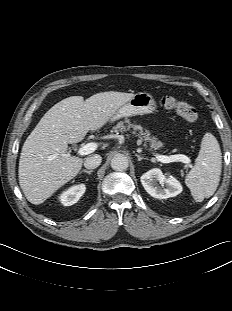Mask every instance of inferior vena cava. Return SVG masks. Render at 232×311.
Wrapping results in <instances>:
<instances>
[{
	"label": "inferior vena cava",
	"instance_id": "obj_1",
	"mask_svg": "<svg viewBox=\"0 0 232 311\" xmlns=\"http://www.w3.org/2000/svg\"><path fill=\"white\" fill-rule=\"evenodd\" d=\"M101 161L102 157L100 155H92L85 159L84 166L87 169H95L101 164Z\"/></svg>",
	"mask_w": 232,
	"mask_h": 311
}]
</instances>
